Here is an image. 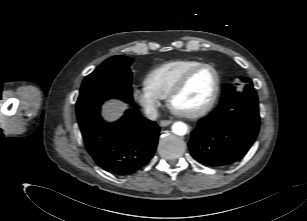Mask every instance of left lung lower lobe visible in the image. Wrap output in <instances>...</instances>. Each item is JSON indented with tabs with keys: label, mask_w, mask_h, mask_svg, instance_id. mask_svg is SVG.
<instances>
[{
	"label": "left lung lower lobe",
	"mask_w": 307,
	"mask_h": 221,
	"mask_svg": "<svg viewBox=\"0 0 307 221\" xmlns=\"http://www.w3.org/2000/svg\"><path fill=\"white\" fill-rule=\"evenodd\" d=\"M259 125L256 93L221 101L191 132L188 143L191 154L198 162L210 167L233 164L250 149Z\"/></svg>",
	"instance_id": "obj_1"
}]
</instances>
